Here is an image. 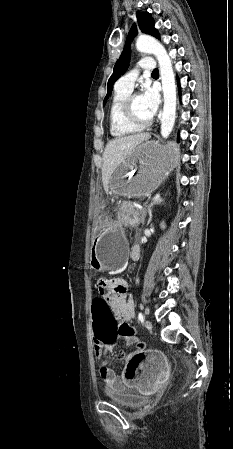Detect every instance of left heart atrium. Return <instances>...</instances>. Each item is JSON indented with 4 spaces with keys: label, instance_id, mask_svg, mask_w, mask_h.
<instances>
[{
    "label": "left heart atrium",
    "instance_id": "1",
    "mask_svg": "<svg viewBox=\"0 0 233 449\" xmlns=\"http://www.w3.org/2000/svg\"><path fill=\"white\" fill-rule=\"evenodd\" d=\"M142 98L151 116L156 114L160 104L158 89L155 86H147L142 93Z\"/></svg>",
    "mask_w": 233,
    "mask_h": 449
}]
</instances>
